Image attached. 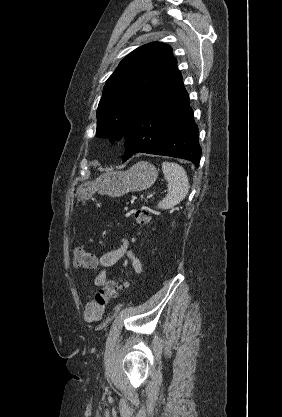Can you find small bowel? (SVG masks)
I'll list each match as a JSON object with an SVG mask.
<instances>
[{
  "instance_id": "c3829d8e",
  "label": "small bowel",
  "mask_w": 282,
  "mask_h": 417,
  "mask_svg": "<svg viewBox=\"0 0 282 417\" xmlns=\"http://www.w3.org/2000/svg\"><path fill=\"white\" fill-rule=\"evenodd\" d=\"M122 257H126L135 272L136 275L142 273V263L138 257L130 250L129 241L126 237L121 238V244L119 247L104 253L98 260L97 264L101 267V270L95 278V285L101 286L108 279V271L114 266ZM104 310L98 308L93 300H90L84 310V320L88 323L99 321L103 316Z\"/></svg>"
}]
</instances>
